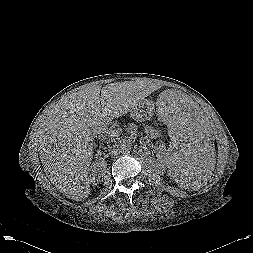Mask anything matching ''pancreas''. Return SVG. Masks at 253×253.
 Segmentation results:
<instances>
[{"mask_svg": "<svg viewBox=\"0 0 253 253\" xmlns=\"http://www.w3.org/2000/svg\"><path fill=\"white\" fill-rule=\"evenodd\" d=\"M97 131L99 132V134L104 133L103 138L107 141L116 140L120 134V130L115 129L114 127H110V128L102 127L98 129Z\"/></svg>", "mask_w": 253, "mask_h": 253, "instance_id": "cf45deb5", "label": "pancreas"}]
</instances>
